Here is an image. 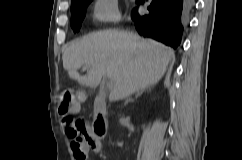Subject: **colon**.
Returning <instances> with one entry per match:
<instances>
[{
  "label": "colon",
  "instance_id": "5ec220e1",
  "mask_svg": "<svg viewBox=\"0 0 242 160\" xmlns=\"http://www.w3.org/2000/svg\"><path fill=\"white\" fill-rule=\"evenodd\" d=\"M77 109L78 102L73 92L70 89L61 90L59 93V112L63 115L62 122L66 133L73 139V147L79 149L80 142L86 137V124L83 120L75 119L70 115L76 112ZM91 150L97 152L99 150V143L95 142ZM79 160H86V155L80 152Z\"/></svg>",
  "mask_w": 242,
  "mask_h": 160
}]
</instances>
